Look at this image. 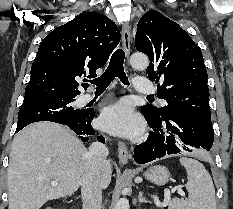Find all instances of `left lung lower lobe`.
<instances>
[{"instance_id": "obj_1", "label": "left lung lower lobe", "mask_w": 233, "mask_h": 209, "mask_svg": "<svg viewBox=\"0 0 233 209\" xmlns=\"http://www.w3.org/2000/svg\"><path fill=\"white\" fill-rule=\"evenodd\" d=\"M152 128L148 139L137 145L134 160L144 164L170 154H181L192 148L209 151L213 145L214 131L211 125L204 124L188 116L170 117L157 120L145 115Z\"/></svg>"}]
</instances>
